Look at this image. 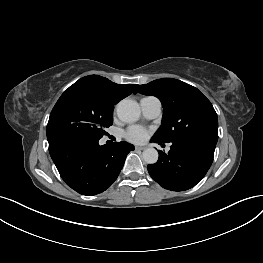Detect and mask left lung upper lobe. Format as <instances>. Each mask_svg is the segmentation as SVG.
I'll list each match as a JSON object with an SVG mask.
<instances>
[{
  "mask_svg": "<svg viewBox=\"0 0 263 263\" xmlns=\"http://www.w3.org/2000/svg\"><path fill=\"white\" fill-rule=\"evenodd\" d=\"M136 92L153 95L162 103V126L152 139L163 143L177 140L217 143V114L197 88L177 79L164 78L137 86Z\"/></svg>",
  "mask_w": 263,
  "mask_h": 263,
  "instance_id": "left-lung-upper-lobe-1",
  "label": "left lung upper lobe"
}]
</instances>
